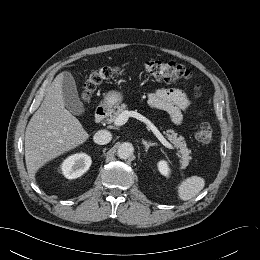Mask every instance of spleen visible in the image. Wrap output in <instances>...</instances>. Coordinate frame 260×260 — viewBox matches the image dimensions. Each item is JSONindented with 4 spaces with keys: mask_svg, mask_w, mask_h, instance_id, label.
<instances>
[{
    "mask_svg": "<svg viewBox=\"0 0 260 260\" xmlns=\"http://www.w3.org/2000/svg\"><path fill=\"white\" fill-rule=\"evenodd\" d=\"M205 181L202 177L191 176L178 186V197L187 201L199 194V192L204 188Z\"/></svg>",
    "mask_w": 260,
    "mask_h": 260,
    "instance_id": "spleen-1",
    "label": "spleen"
}]
</instances>
